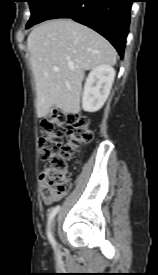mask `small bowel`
I'll list each match as a JSON object with an SVG mask.
<instances>
[{"mask_svg":"<svg viewBox=\"0 0 158 275\" xmlns=\"http://www.w3.org/2000/svg\"><path fill=\"white\" fill-rule=\"evenodd\" d=\"M44 202H45L46 204H50L52 201L45 198V199H44Z\"/></svg>","mask_w":158,"mask_h":275,"instance_id":"obj_1","label":"small bowel"}]
</instances>
